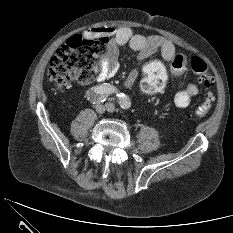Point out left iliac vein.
<instances>
[{"label": "left iliac vein", "instance_id": "4c4485c4", "mask_svg": "<svg viewBox=\"0 0 233 233\" xmlns=\"http://www.w3.org/2000/svg\"><path fill=\"white\" fill-rule=\"evenodd\" d=\"M106 107H107L108 112H114L115 111V106L112 103H107Z\"/></svg>", "mask_w": 233, "mask_h": 233}]
</instances>
